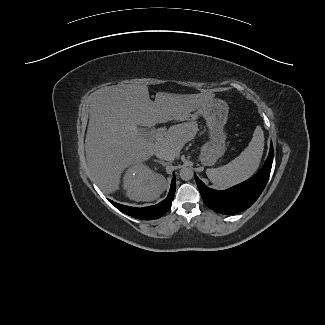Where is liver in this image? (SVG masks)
<instances>
[{"label": "liver", "mask_w": 325, "mask_h": 325, "mask_svg": "<svg viewBox=\"0 0 325 325\" xmlns=\"http://www.w3.org/2000/svg\"><path fill=\"white\" fill-rule=\"evenodd\" d=\"M215 94H173L158 92L150 100L146 85L109 86L91 95L90 119L85 139L88 169L94 182L106 193L119 189L123 171L143 162L159 149L179 155L198 130L196 122L171 126L162 140L151 142L137 125L184 119L214 98Z\"/></svg>", "instance_id": "liver-1"}]
</instances>
